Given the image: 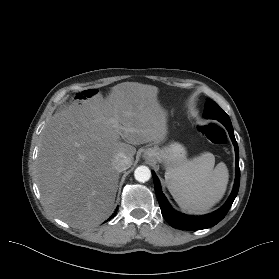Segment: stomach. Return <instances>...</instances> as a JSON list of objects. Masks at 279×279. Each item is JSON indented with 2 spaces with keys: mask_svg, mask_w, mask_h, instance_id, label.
<instances>
[{
  "mask_svg": "<svg viewBox=\"0 0 279 279\" xmlns=\"http://www.w3.org/2000/svg\"><path fill=\"white\" fill-rule=\"evenodd\" d=\"M144 158L155 159L158 162L164 163L166 168L170 169L186 160V150L184 146L176 142L162 148L155 145L151 148L145 149Z\"/></svg>",
  "mask_w": 279,
  "mask_h": 279,
  "instance_id": "obj_1",
  "label": "stomach"
}]
</instances>
